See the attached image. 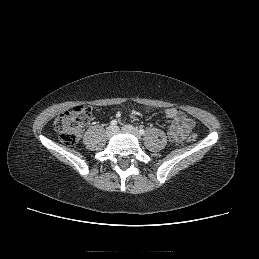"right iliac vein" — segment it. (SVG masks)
Wrapping results in <instances>:
<instances>
[{
    "label": "right iliac vein",
    "instance_id": "63e3f726",
    "mask_svg": "<svg viewBox=\"0 0 259 259\" xmlns=\"http://www.w3.org/2000/svg\"><path fill=\"white\" fill-rule=\"evenodd\" d=\"M117 132V127L115 126H109L107 129H106V136L108 138L112 137L115 133Z\"/></svg>",
    "mask_w": 259,
    "mask_h": 259
}]
</instances>
